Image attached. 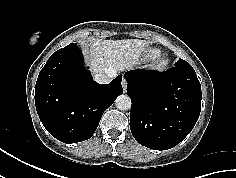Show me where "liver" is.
Segmentation results:
<instances>
[{"instance_id":"liver-1","label":"liver","mask_w":236,"mask_h":178,"mask_svg":"<svg viewBox=\"0 0 236 178\" xmlns=\"http://www.w3.org/2000/svg\"><path fill=\"white\" fill-rule=\"evenodd\" d=\"M147 46L138 39L95 41L86 46V59L92 73L123 71L135 66Z\"/></svg>"}]
</instances>
